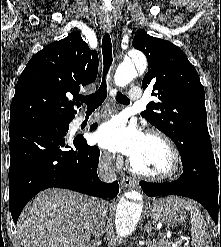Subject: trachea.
Masks as SVG:
<instances>
[{"mask_svg":"<svg viewBox=\"0 0 221 247\" xmlns=\"http://www.w3.org/2000/svg\"><path fill=\"white\" fill-rule=\"evenodd\" d=\"M102 54H103L104 71H103V80L100 88L95 93L89 96L79 98L81 102H84L87 105V110H94L98 108L104 102L107 96L106 76L112 64V44H111L110 35L108 33H106L103 36ZM116 100L125 105L130 104V99L119 91L116 92Z\"/></svg>","mask_w":221,"mask_h":247,"instance_id":"1","label":"trachea"}]
</instances>
